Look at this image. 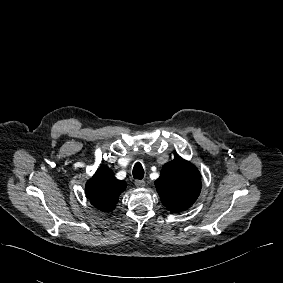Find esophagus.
<instances>
[{
    "label": "esophagus",
    "instance_id": "1",
    "mask_svg": "<svg viewBox=\"0 0 283 283\" xmlns=\"http://www.w3.org/2000/svg\"><path fill=\"white\" fill-rule=\"evenodd\" d=\"M135 186L137 188H143L145 186V181L144 180H135Z\"/></svg>",
    "mask_w": 283,
    "mask_h": 283
}]
</instances>
